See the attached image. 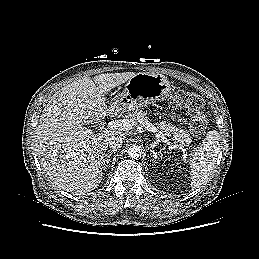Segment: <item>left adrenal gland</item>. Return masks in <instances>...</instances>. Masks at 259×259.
<instances>
[{"label": "left adrenal gland", "instance_id": "1", "mask_svg": "<svg viewBox=\"0 0 259 259\" xmlns=\"http://www.w3.org/2000/svg\"><path fill=\"white\" fill-rule=\"evenodd\" d=\"M150 154H151V157H152V160H151V162H152V164L153 163H155V161H156V159H157V156L159 155V152L157 153V152H155V150L152 148V149H150Z\"/></svg>", "mask_w": 259, "mask_h": 259}]
</instances>
